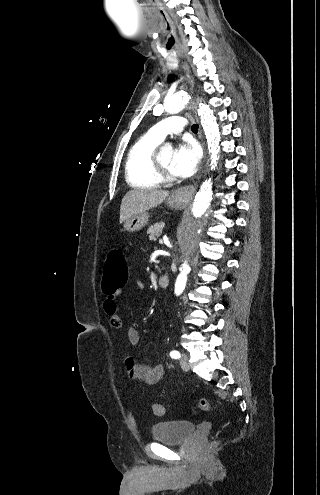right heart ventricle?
<instances>
[{
    "instance_id": "right-heart-ventricle-1",
    "label": "right heart ventricle",
    "mask_w": 320,
    "mask_h": 495,
    "mask_svg": "<svg viewBox=\"0 0 320 495\" xmlns=\"http://www.w3.org/2000/svg\"><path fill=\"white\" fill-rule=\"evenodd\" d=\"M160 143L161 140L148 132L131 145L125 161V177L129 185L153 189L161 184L153 165V154Z\"/></svg>"
}]
</instances>
